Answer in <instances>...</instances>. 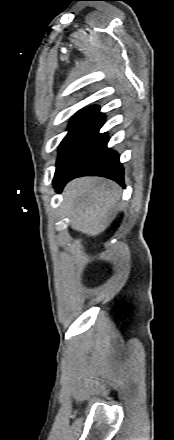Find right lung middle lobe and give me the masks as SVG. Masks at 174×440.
<instances>
[{
  "label": "right lung middle lobe",
  "instance_id": "obj_1",
  "mask_svg": "<svg viewBox=\"0 0 174 440\" xmlns=\"http://www.w3.org/2000/svg\"><path fill=\"white\" fill-rule=\"evenodd\" d=\"M98 113V106H90L78 112L70 122L69 132L59 146L53 183L71 173L78 164L95 130Z\"/></svg>",
  "mask_w": 174,
  "mask_h": 440
}]
</instances>
